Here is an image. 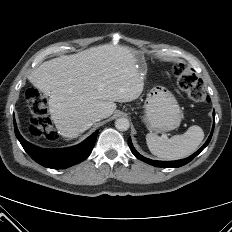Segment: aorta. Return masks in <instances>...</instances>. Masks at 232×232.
I'll return each mask as SVG.
<instances>
[{"label":"aorta","mask_w":232,"mask_h":232,"mask_svg":"<svg viewBox=\"0 0 232 232\" xmlns=\"http://www.w3.org/2000/svg\"><path fill=\"white\" fill-rule=\"evenodd\" d=\"M130 123L127 118H118L115 121V127L120 131H126L129 129Z\"/></svg>","instance_id":"obj_1"}]
</instances>
